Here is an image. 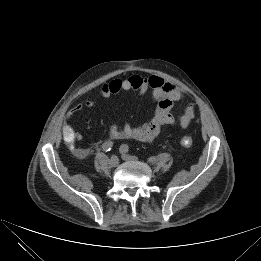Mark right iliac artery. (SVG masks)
<instances>
[{
  "mask_svg": "<svg viewBox=\"0 0 261 261\" xmlns=\"http://www.w3.org/2000/svg\"><path fill=\"white\" fill-rule=\"evenodd\" d=\"M112 147H113V142L112 141H106L102 145V150L104 152H108V151H110L112 149Z\"/></svg>",
  "mask_w": 261,
  "mask_h": 261,
  "instance_id": "82829eb1",
  "label": "right iliac artery"
}]
</instances>
